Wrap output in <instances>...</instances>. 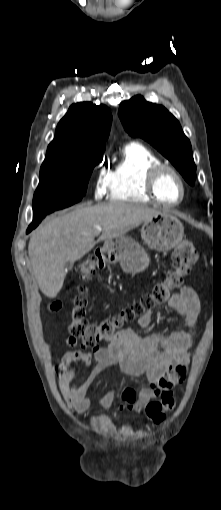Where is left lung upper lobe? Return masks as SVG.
I'll return each instance as SVG.
<instances>
[{
	"instance_id": "left-lung-upper-lobe-1",
	"label": "left lung upper lobe",
	"mask_w": 221,
	"mask_h": 510,
	"mask_svg": "<svg viewBox=\"0 0 221 510\" xmlns=\"http://www.w3.org/2000/svg\"><path fill=\"white\" fill-rule=\"evenodd\" d=\"M118 115L131 136L148 141L170 160L189 184L194 185L196 166L190 141L167 109L137 95L122 102Z\"/></svg>"
}]
</instances>
